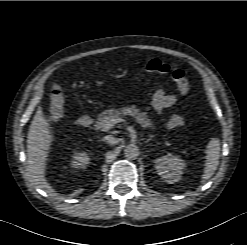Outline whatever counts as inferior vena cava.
Masks as SVG:
<instances>
[{"mask_svg": "<svg viewBox=\"0 0 247 245\" xmlns=\"http://www.w3.org/2000/svg\"><path fill=\"white\" fill-rule=\"evenodd\" d=\"M104 141H106L107 143L111 144V145H115L118 143V139L111 136V135H106L104 138H103Z\"/></svg>", "mask_w": 247, "mask_h": 245, "instance_id": "1", "label": "inferior vena cava"}]
</instances>
